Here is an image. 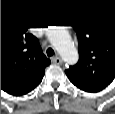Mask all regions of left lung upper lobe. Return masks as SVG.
Wrapping results in <instances>:
<instances>
[{"label": "left lung upper lobe", "mask_w": 115, "mask_h": 114, "mask_svg": "<svg viewBox=\"0 0 115 114\" xmlns=\"http://www.w3.org/2000/svg\"><path fill=\"white\" fill-rule=\"evenodd\" d=\"M70 25L77 33L79 61L66 75L77 87L104 89L115 78V17L87 15Z\"/></svg>", "instance_id": "1"}]
</instances>
